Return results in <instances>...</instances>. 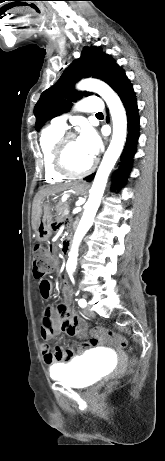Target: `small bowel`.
<instances>
[{"mask_svg": "<svg viewBox=\"0 0 165 461\" xmlns=\"http://www.w3.org/2000/svg\"><path fill=\"white\" fill-rule=\"evenodd\" d=\"M55 218L54 216L52 217ZM53 283L47 279H43L39 283V292L42 298L49 299L53 293ZM73 296L71 286L65 282L63 287V302L56 310L47 308L41 319L40 335L45 340H50L53 336L66 333L70 336L81 337V345L76 348L80 354H93L95 348L101 342L100 336L82 337L85 335L86 324L84 320L74 315L69 309V301ZM95 345V346H94ZM41 352L44 362L51 368L57 364L71 359L74 355L72 350H64L60 346L50 348L47 344L41 346Z\"/></svg>", "mask_w": 165, "mask_h": 461, "instance_id": "obj_1", "label": "small bowel"}]
</instances>
